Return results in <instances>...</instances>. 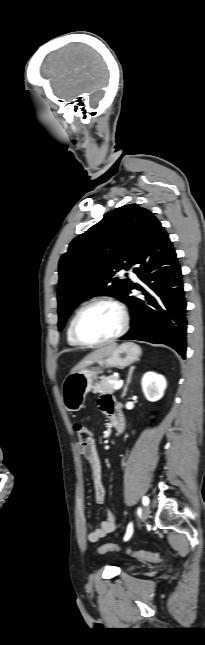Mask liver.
<instances>
[{"instance_id":"obj_1","label":"liver","mask_w":205,"mask_h":645,"mask_svg":"<svg viewBox=\"0 0 205 645\" xmlns=\"http://www.w3.org/2000/svg\"><path fill=\"white\" fill-rule=\"evenodd\" d=\"M117 345L115 343L103 346L89 355H87L82 361H80L72 370L71 373L77 372L79 370H82L84 368H87L88 366L94 364L95 362H98L99 360L104 359L107 357L110 353H112ZM70 373V374H71Z\"/></svg>"}]
</instances>
